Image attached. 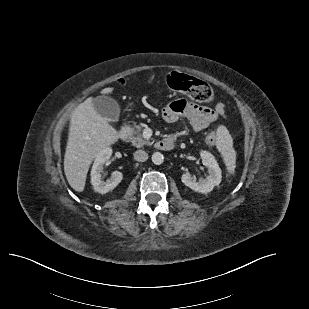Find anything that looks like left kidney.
Returning a JSON list of instances; mask_svg holds the SVG:
<instances>
[{
  "instance_id": "1",
  "label": "left kidney",
  "mask_w": 309,
  "mask_h": 309,
  "mask_svg": "<svg viewBox=\"0 0 309 309\" xmlns=\"http://www.w3.org/2000/svg\"><path fill=\"white\" fill-rule=\"evenodd\" d=\"M200 156L203 165L208 168V176L206 179L196 181V179L187 172L182 175L181 181L190 189L199 193L207 194L211 192L215 186L221 183L222 174L215 157L211 153L201 151Z\"/></svg>"
}]
</instances>
